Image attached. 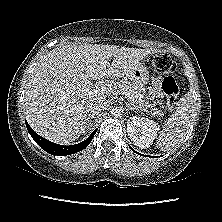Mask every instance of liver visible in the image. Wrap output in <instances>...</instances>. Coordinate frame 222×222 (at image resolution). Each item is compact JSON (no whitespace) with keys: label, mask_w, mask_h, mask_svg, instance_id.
I'll return each instance as SVG.
<instances>
[{"label":"liver","mask_w":222,"mask_h":222,"mask_svg":"<svg viewBox=\"0 0 222 222\" xmlns=\"http://www.w3.org/2000/svg\"><path fill=\"white\" fill-rule=\"evenodd\" d=\"M153 53L156 49L75 43L51 50L27 83L23 108L29 125L52 142L75 141L89 124L91 106L118 93L125 75Z\"/></svg>","instance_id":"liver-1"}]
</instances>
